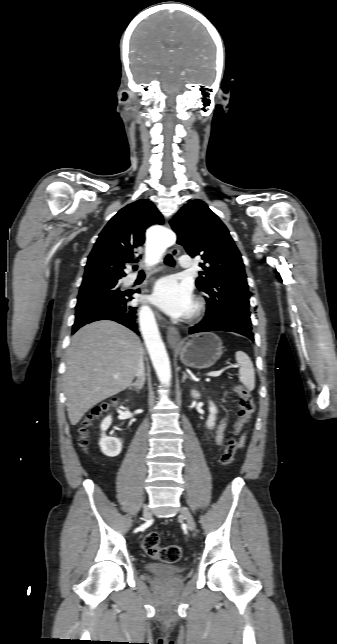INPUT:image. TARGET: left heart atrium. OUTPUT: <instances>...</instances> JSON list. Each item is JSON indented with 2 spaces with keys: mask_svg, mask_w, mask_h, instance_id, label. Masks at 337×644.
I'll list each match as a JSON object with an SVG mask.
<instances>
[{
  "mask_svg": "<svg viewBox=\"0 0 337 644\" xmlns=\"http://www.w3.org/2000/svg\"><path fill=\"white\" fill-rule=\"evenodd\" d=\"M153 302L174 317H184L193 308L192 289L187 283L179 282L173 276L159 279L153 288Z\"/></svg>",
  "mask_w": 337,
  "mask_h": 644,
  "instance_id": "obj_1",
  "label": "left heart atrium"
}]
</instances>
